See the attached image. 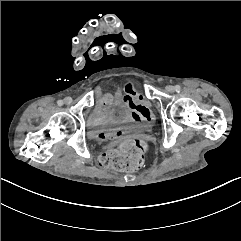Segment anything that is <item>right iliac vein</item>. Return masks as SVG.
I'll return each instance as SVG.
<instances>
[{
  "label": "right iliac vein",
  "mask_w": 241,
  "mask_h": 241,
  "mask_svg": "<svg viewBox=\"0 0 241 241\" xmlns=\"http://www.w3.org/2000/svg\"><path fill=\"white\" fill-rule=\"evenodd\" d=\"M71 102H72V98L71 97H66L64 99V103L67 104V105L71 104Z\"/></svg>",
  "instance_id": "right-iliac-vein-1"
}]
</instances>
